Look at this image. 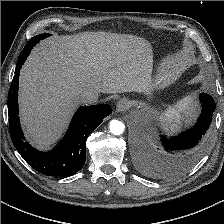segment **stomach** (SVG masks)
Wrapping results in <instances>:
<instances>
[{"instance_id": "0dacf381", "label": "stomach", "mask_w": 224, "mask_h": 224, "mask_svg": "<svg viewBox=\"0 0 224 224\" xmlns=\"http://www.w3.org/2000/svg\"><path fill=\"white\" fill-rule=\"evenodd\" d=\"M153 80H152V78L150 77V79L148 80V82H147V85H146V87H145V91L146 92H148L152 87H153Z\"/></svg>"}]
</instances>
